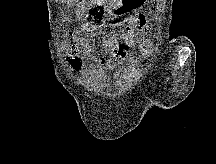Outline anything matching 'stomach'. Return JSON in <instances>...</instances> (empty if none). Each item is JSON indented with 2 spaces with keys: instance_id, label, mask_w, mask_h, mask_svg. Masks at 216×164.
<instances>
[{
  "instance_id": "1",
  "label": "stomach",
  "mask_w": 216,
  "mask_h": 164,
  "mask_svg": "<svg viewBox=\"0 0 216 164\" xmlns=\"http://www.w3.org/2000/svg\"><path fill=\"white\" fill-rule=\"evenodd\" d=\"M149 0H117L102 9H89V14H106L108 20H128L133 10L141 9Z\"/></svg>"
}]
</instances>
